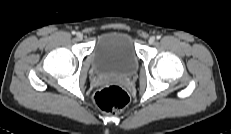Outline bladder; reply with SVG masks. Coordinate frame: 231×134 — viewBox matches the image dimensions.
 I'll return each mask as SVG.
<instances>
[{"instance_id": "bladder-1", "label": "bladder", "mask_w": 231, "mask_h": 134, "mask_svg": "<svg viewBox=\"0 0 231 134\" xmlns=\"http://www.w3.org/2000/svg\"><path fill=\"white\" fill-rule=\"evenodd\" d=\"M138 54L131 34L108 31L101 34L92 51V65L100 74L129 75L138 65Z\"/></svg>"}]
</instances>
